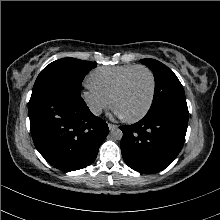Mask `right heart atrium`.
<instances>
[{
  "mask_svg": "<svg viewBox=\"0 0 220 220\" xmlns=\"http://www.w3.org/2000/svg\"><path fill=\"white\" fill-rule=\"evenodd\" d=\"M82 99L90 112L96 116L102 114L111 104L110 98L90 86L82 92Z\"/></svg>",
  "mask_w": 220,
  "mask_h": 220,
  "instance_id": "1",
  "label": "right heart atrium"
}]
</instances>
